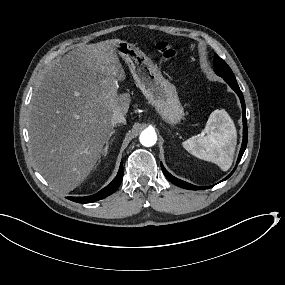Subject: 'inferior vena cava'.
<instances>
[{"instance_id":"602c4592","label":"inferior vena cava","mask_w":285,"mask_h":285,"mask_svg":"<svg viewBox=\"0 0 285 285\" xmlns=\"http://www.w3.org/2000/svg\"><path fill=\"white\" fill-rule=\"evenodd\" d=\"M118 123L126 124V119L122 113L114 112L112 119H111V124L112 126H115Z\"/></svg>"}]
</instances>
